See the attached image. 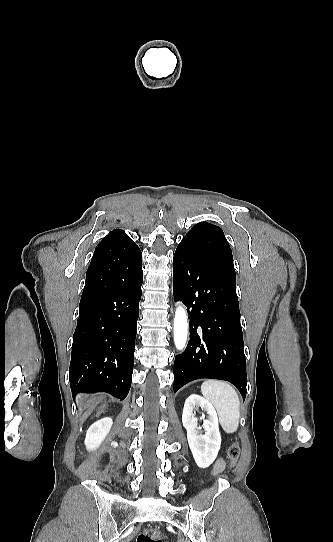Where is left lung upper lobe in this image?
I'll list each match as a JSON object with an SVG mask.
<instances>
[{"label": "left lung upper lobe", "mask_w": 333, "mask_h": 542, "mask_svg": "<svg viewBox=\"0 0 333 542\" xmlns=\"http://www.w3.org/2000/svg\"><path fill=\"white\" fill-rule=\"evenodd\" d=\"M180 244L190 247L196 255L207 262L234 270L231 248L218 226L200 222L183 237Z\"/></svg>", "instance_id": "left-lung-upper-lobe-1"}]
</instances>
